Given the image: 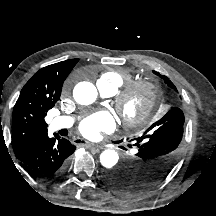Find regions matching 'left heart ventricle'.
<instances>
[{"mask_svg":"<svg viewBox=\"0 0 216 216\" xmlns=\"http://www.w3.org/2000/svg\"><path fill=\"white\" fill-rule=\"evenodd\" d=\"M142 102H143L142 94L140 93L134 94L127 102V110L128 111L138 110Z\"/></svg>","mask_w":216,"mask_h":216,"instance_id":"1","label":"left heart ventricle"}]
</instances>
